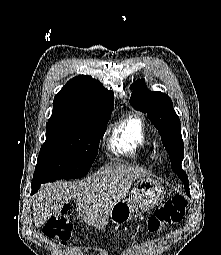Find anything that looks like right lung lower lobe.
Returning <instances> with one entry per match:
<instances>
[{
  "label": "right lung lower lobe",
  "mask_w": 221,
  "mask_h": 255,
  "mask_svg": "<svg viewBox=\"0 0 221 255\" xmlns=\"http://www.w3.org/2000/svg\"><path fill=\"white\" fill-rule=\"evenodd\" d=\"M43 182H36V181H33L32 182V192L31 194H34L35 192H37V190L40 188L41 184Z\"/></svg>",
  "instance_id": "1"
}]
</instances>
